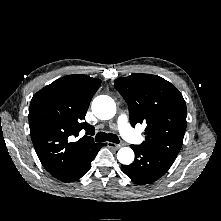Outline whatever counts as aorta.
Wrapping results in <instances>:
<instances>
[{"label": "aorta", "instance_id": "aorta-1", "mask_svg": "<svg viewBox=\"0 0 221 221\" xmlns=\"http://www.w3.org/2000/svg\"><path fill=\"white\" fill-rule=\"evenodd\" d=\"M92 112L101 120H109L116 114V104L111 97L100 95L92 101ZM117 159L121 164L129 165L134 161V152L129 147H123L118 151Z\"/></svg>", "mask_w": 221, "mask_h": 221}]
</instances>
